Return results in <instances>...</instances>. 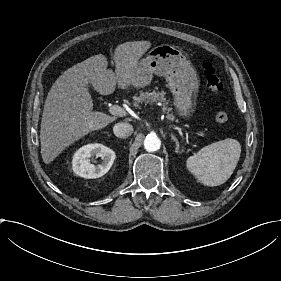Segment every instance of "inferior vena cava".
Here are the masks:
<instances>
[{
  "instance_id": "inferior-vena-cava-1",
  "label": "inferior vena cava",
  "mask_w": 281,
  "mask_h": 281,
  "mask_svg": "<svg viewBox=\"0 0 281 281\" xmlns=\"http://www.w3.org/2000/svg\"><path fill=\"white\" fill-rule=\"evenodd\" d=\"M133 131V126L128 123H118L113 128L114 135L122 139L129 137Z\"/></svg>"
}]
</instances>
